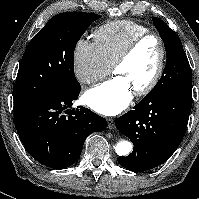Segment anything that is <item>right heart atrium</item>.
I'll list each match as a JSON object with an SVG mask.
<instances>
[{"instance_id": "1", "label": "right heart atrium", "mask_w": 199, "mask_h": 199, "mask_svg": "<svg viewBox=\"0 0 199 199\" xmlns=\"http://www.w3.org/2000/svg\"><path fill=\"white\" fill-rule=\"evenodd\" d=\"M73 69L81 84H93L108 75L111 67L95 42L79 39L73 51Z\"/></svg>"}]
</instances>
